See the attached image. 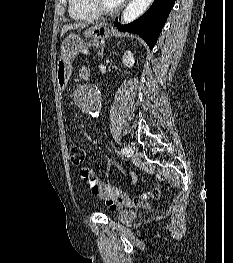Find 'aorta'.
Wrapping results in <instances>:
<instances>
[{"label": "aorta", "mask_w": 233, "mask_h": 263, "mask_svg": "<svg viewBox=\"0 0 233 263\" xmlns=\"http://www.w3.org/2000/svg\"><path fill=\"white\" fill-rule=\"evenodd\" d=\"M154 0H131V2L125 8L121 22L130 23L133 20L141 16ZM100 104V92L99 89L93 85H85L80 92L78 98L79 108L91 115H96Z\"/></svg>", "instance_id": "aorta-1"}]
</instances>
